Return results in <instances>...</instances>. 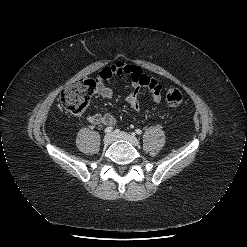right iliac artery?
<instances>
[{
    "mask_svg": "<svg viewBox=\"0 0 247 247\" xmlns=\"http://www.w3.org/2000/svg\"><path fill=\"white\" fill-rule=\"evenodd\" d=\"M112 131H113V127H107V128L105 129V133H110V132H112ZM115 132L118 133V130H115Z\"/></svg>",
    "mask_w": 247,
    "mask_h": 247,
    "instance_id": "right-iliac-artery-1",
    "label": "right iliac artery"
}]
</instances>
